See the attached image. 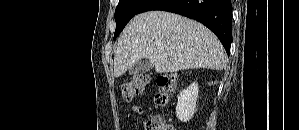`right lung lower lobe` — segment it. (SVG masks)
Here are the masks:
<instances>
[{"instance_id": "98d812e1", "label": "right lung lower lobe", "mask_w": 299, "mask_h": 130, "mask_svg": "<svg viewBox=\"0 0 299 130\" xmlns=\"http://www.w3.org/2000/svg\"><path fill=\"white\" fill-rule=\"evenodd\" d=\"M151 10L173 12L201 22L216 34L227 54L230 53L231 0H148L138 14Z\"/></svg>"}]
</instances>
